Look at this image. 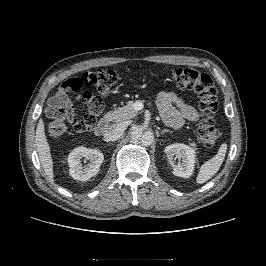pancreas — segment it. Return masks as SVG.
Returning a JSON list of instances; mask_svg holds the SVG:
<instances>
[{
  "mask_svg": "<svg viewBox=\"0 0 266 266\" xmlns=\"http://www.w3.org/2000/svg\"><path fill=\"white\" fill-rule=\"evenodd\" d=\"M134 102L129 101L127 102L126 106L120 107L107 113L106 119L108 121L114 122H124L134 118L138 112L134 109ZM190 145L196 148V144L194 142H190Z\"/></svg>",
  "mask_w": 266,
  "mask_h": 266,
  "instance_id": "cf45deb5",
  "label": "pancreas"
}]
</instances>
